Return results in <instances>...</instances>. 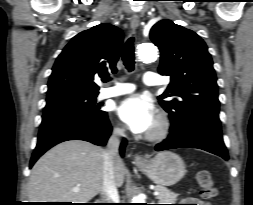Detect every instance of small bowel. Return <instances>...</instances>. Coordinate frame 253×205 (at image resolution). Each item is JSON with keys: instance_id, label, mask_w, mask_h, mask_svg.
<instances>
[{"instance_id": "small-bowel-1", "label": "small bowel", "mask_w": 253, "mask_h": 205, "mask_svg": "<svg viewBox=\"0 0 253 205\" xmlns=\"http://www.w3.org/2000/svg\"><path fill=\"white\" fill-rule=\"evenodd\" d=\"M184 201L185 202L195 203V204H188V205H208L207 203H204V202L199 201V200L194 199V198H185Z\"/></svg>"}]
</instances>
